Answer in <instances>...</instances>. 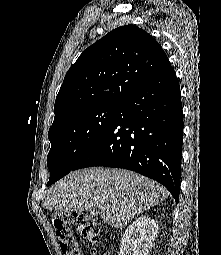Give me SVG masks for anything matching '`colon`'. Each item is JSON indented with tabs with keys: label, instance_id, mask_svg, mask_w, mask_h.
<instances>
[{
	"label": "colon",
	"instance_id": "colon-1",
	"mask_svg": "<svg viewBox=\"0 0 221 255\" xmlns=\"http://www.w3.org/2000/svg\"><path fill=\"white\" fill-rule=\"evenodd\" d=\"M51 223L59 241L60 249L65 255H82L70 226H76L82 237L90 243L99 240L100 224L97 218L77 212L53 213Z\"/></svg>",
	"mask_w": 221,
	"mask_h": 255
}]
</instances>
